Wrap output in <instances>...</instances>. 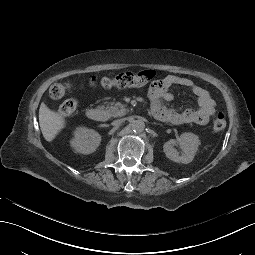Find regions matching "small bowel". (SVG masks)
<instances>
[{
    "label": "small bowel",
    "mask_w": 255,
    "mask_h": 255,
    "mask_svg": "<svg viewBox=\"0 0 255 255\" xmlns=\"http://www.w3.org/2000/svg\"><path fill=\"white\" fill-rule=\"evenodd\" d=\"M173 85H180L189 89L197 97L198 107L183 111L166 109L171 115L169 122L174 124L194 123L198 125H205L209 123L210 119L216 113V104L209 91L196 84L193 80L178 75H168L162 79L155 80L152 83L149 96L152 100L153 108H162L161 100L171 99L172 96L168 92V89Z\"/></svg>",
    "instance_id": "obj_1"
}]
</instances>
